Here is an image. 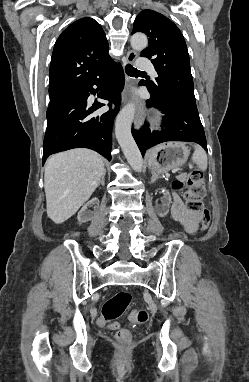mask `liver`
<instances>
[{"mask_svg": "<svg viewBox=\"0 0 249 382\" xmlns=\"http://www.w3.org/2000/svg\"><path fill=\"white\" fill-rule=\"evenodd\" d=\"M104 171L102 156L90 149L49 157L44 175L47 216L56 224L72 217L91 197Z\"/></svg>", "mask_w": 249, "mask_h": 382, "instance_id": "1", "label": "liver"}]
</instances>
